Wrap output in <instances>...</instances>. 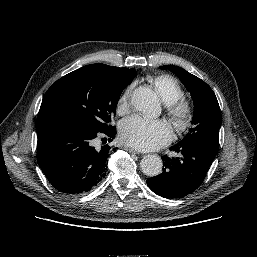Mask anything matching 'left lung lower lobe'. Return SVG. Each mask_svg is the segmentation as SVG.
I'll use <instances>...</instances> for the list:
<instances>
[{
    "label": "left lung lower lobe",
    "instance_id": "1",
    "mask_svg": "<svg viewBox=\"0 0 257 257\" xmlns=\"http://www.w3.org/2000/svg\"><path fill=\"white\" fill-rule=\"evenodd\" d=\"M176 158L162 156L163 172L146 180L148 187L165 198H182L196 190L211 166L218 147L203 142L177 143L170 148Z\"/></svg>",
    "mask_w": 257,
    "mask_h": 257
}]
</instances>
